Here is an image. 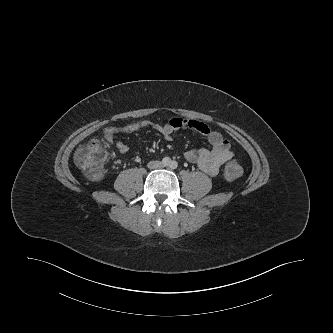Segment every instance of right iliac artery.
Here are the masks:
<instances>
[{
  "label": "right iliac artery",
  "instance_id": "1",
  "mask_svg": "<svg viewBox=\"0 0 333 333\" xmlns=\"http://www.w3.org/2000/svg\"><path fill=\"white\" fill-rule=\"evenodd\" d=\"M170 163H171V160H170L169 157H164V158L162 159V164H163L164 166H168V165H170Z\"/></svg>",
  "mask_w": 333,
  "mask_h": 333
}]
</instances>
